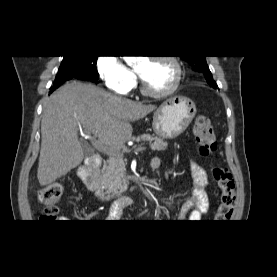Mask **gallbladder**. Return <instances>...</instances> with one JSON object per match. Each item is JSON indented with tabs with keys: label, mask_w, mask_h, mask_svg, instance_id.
I'll return each mask as SVG.
<instances>
[{
	"label": "gallbladder",
	"mask_w": 277,
	"mask_h": 277,
	"mask_svg": "<svg viewBox=\"0 0 277 277\" xmlns=\"http://www.w3.org/2000/svg\"><path fill=\"white\" fill-rule=\"evenodd\" d=\"M82 149L85 155H91L92 151L90 150V148H88V146L82 142Z\"/></svg>",
	"instance_id": "gallbladder-1"
}]
</instances>
